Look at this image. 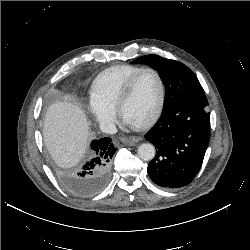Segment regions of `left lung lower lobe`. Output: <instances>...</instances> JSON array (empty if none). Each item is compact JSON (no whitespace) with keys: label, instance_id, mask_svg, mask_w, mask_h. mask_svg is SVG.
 <instances>
[{"label":"left lung lower lobe","instance_id":"1","mask_svg":"<svg viewBox=\"0 0 250 250\" xmlns=\"http://www.w3.org/2000/svg\"><path fill=\"white\" fill-rule=\"evenodd\" d=\"M205 95L184 100L163 111L145 135L157 149L148 164L151 180L162 187L180 188L199 172L210 140V113Z\"/></svg>","mask_w":250,"mask_h":250}]
</instances>
